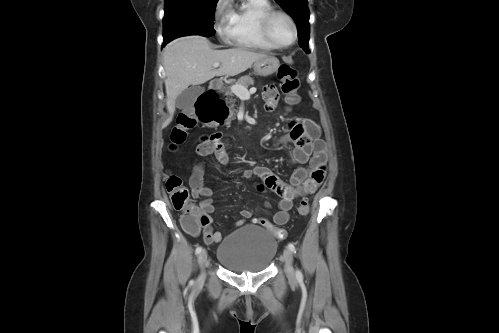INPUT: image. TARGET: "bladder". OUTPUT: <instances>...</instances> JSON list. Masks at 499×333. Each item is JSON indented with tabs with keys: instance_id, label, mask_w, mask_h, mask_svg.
<instances>
[{
	"instance_id": "obj_1",
	"label": "bladder",
	"mask_w": 499,
	"mask_h": 333,
	"mask_svg": "<svg viewBox=\"0 0 499 333\" xmlns=\"http://www.w3.org/2000/svg\"><path fill=\"white\" fill-rule=\"evenodd\" d=\"M277 240L260 226L245 225L219 244L216 258L234 273H259L268 269L277 252Z\"/></svg>"
}]
</instances>
